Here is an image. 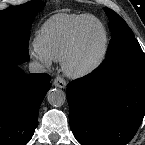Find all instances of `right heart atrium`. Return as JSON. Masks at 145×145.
I'll use <instances>...</instances> for the list:
<instances>
[{
  "mask_svg": "<svg viewBox=\"0 0 145 145\" xmlns=\"http://www.w3.org/2000/svg\"><path fill=\"white\" fill-rule=\"evenodd\" d=\"M30 56L36 62H38L40 65H42L44 67L51 66L52 60L47 55H45L44 53L40 52L36 48L30 49Z\"/></svg>",
  "mask_w": 145,
  "mask_h": 145,
  "instance_id": "obj_1",
  "label": "right heart atrium"
}]
</instances>
